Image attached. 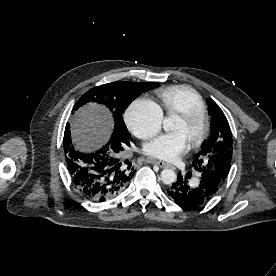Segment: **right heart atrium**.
I'll return each mask as SVG.
<instances>
[{"instance_id":"1","label":"right heart atrium","mask_w":276,"mask_h":276,"mask_svg":"<svg viewBox=\"0 0 276 276\" xmlns=\"http://www.w3.org/2000/svg\"><path fill=\"white\" fill-rule=\"evenodd\" d=\"M125 121L138 138L149 139L160 131L163 112L154 101L148 98H137L127 108Z\"/></svg>"}]
</instances>
